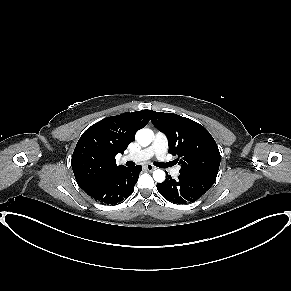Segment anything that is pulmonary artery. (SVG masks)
<instances>
[{"label":"pulmonary artery","instance_id":"pulmonary-artery-1","mask_svg":"<svg viewBox=\"0 0 291 291\" xmlns=\"http://www.w3.org/2000/svg\"><path fill=\"white\" fill-rule=\"evenodd\" d=\"M167 149V137L163 133L158 132L154 137L153 143L149 147L144 148L138 153L129 156V159L134 161H145L153 156H156V158L161 161V163L167 164V162H165ZM170 172L173 177H178L180 174V166L177 165L171 168Z\"/></svg>","mask_w":291,"mask_h":291}]
</instances>
